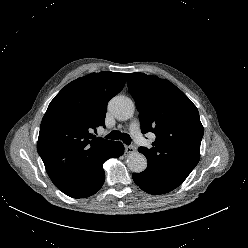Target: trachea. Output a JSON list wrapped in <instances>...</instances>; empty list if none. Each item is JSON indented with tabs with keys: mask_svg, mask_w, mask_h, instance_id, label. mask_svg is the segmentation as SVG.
<instances>
[{
	"mask_svg": "<svg viewBox=\"0 0 248 248\" xmlns=\"http://www.w3.org/2000/svg\"><path fill=\"white\" fill-rule=\"evenodd\" d=\"M107 139L118 140L121 139L126 145L131 144V137L127 133H121L120 131L114 130L111 131L107 136Z\"/></svg>",
	"mask_w": 248,
	"mask_h": 248,
	"instance_id": "trachea-1",
	"label": "trachea"
}]
</instances>
